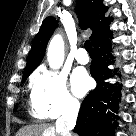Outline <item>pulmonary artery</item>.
Here are the masks:
<instances>
[{
	"mask_svg": "<svg viewBox=\"0 0 136 136\" xmlns=\"http://www.w3.org/2000/svg\"><path fill=\"white\" fill-rule=\"evenodd\" d=\"M76 60L81 64H87L89 62V56L85 49L80 48L76 52Z\"/></svg>",
	"mask_w": 136,
	"mask_h": 136,
	"instance_id": "e3ab8cb5",
	"label": "pulmonary artery"
}]
</instances>
